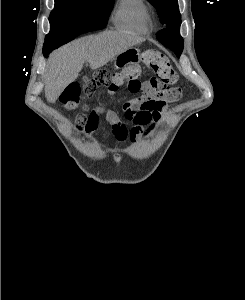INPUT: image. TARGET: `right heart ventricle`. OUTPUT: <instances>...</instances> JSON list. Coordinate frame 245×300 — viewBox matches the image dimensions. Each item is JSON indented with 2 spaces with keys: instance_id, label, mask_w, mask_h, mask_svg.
<instances>
[{
  "instance_id": "1",
  "label": "right heart ventricle",
  "mask_w": 245,
  "mask_h": 300,
  "mask_svg": "<svg viewBox=\"0 0 245 300\" xmlns=\"http://www.w3.org/2000/svg\"><path fill=\"white\" fill-rule=\"evenodd\" d=\"M116 28L137 33H147L152 21L143 0H120L112 17Z\"/></svg>"
}]
</instances>
